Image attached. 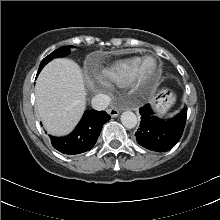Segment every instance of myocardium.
Here are the masks:
<instances>
[{
  "mask_svg": "<svg viewBox=\"0 0 220 220\" xmlns=\"http://www.w3.org/2000/svg\"><path fill=\"white\" fill-rule=\"evenodd\" d=\"M149 59L154 61V68L150 71H147L144 68V64ZM157 68H158V60L154 56L151 55L144 56L142 59L139 60L131 79L137 83L142 84L152 76V74L157 70Z\"/></svg>",
  "mask_w": 220,
  "mask_h": 220,
  "instance_id": "1",
  "label": "myocardium"
}]
</instances>
